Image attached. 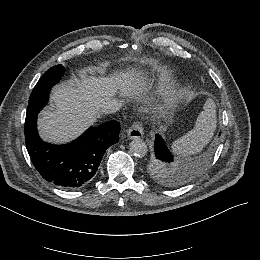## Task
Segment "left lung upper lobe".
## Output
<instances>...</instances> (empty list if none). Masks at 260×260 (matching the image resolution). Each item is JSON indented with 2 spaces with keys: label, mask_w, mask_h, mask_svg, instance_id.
Returning <instances> with one entry per match:
<instances>
[{
  "label": "left lung upper lobe",
  "mask_w": 260,
  "mask_h": 260,
  "mask_svg": "<svg viewBox=\"0 0 260 260\" xmlns=\"http://www.w3.org/2000/svg\"><path fill=\"white\" fill-rule=\"evenodd\" d=\"M146 175L157 184L167 187H179L191 179L199 172L198 167H186L172 160H163L151 151L144 164Z\"/></svg>",
  "instance_id": "1"
}]
</instances>
